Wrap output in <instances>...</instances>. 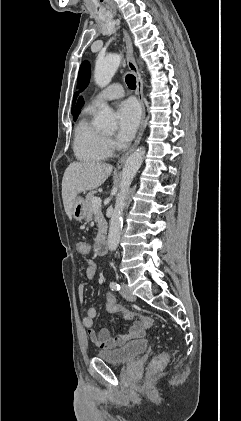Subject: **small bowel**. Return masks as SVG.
Here are the masks:
<instances>
[{"mask_svg":"<svg viewBox=\"0 0 241 421\" xmlns=\"http://www.w3.org/2000/svg\"><path fill=\"white\" fill-rule=\"evenodd\" d=\"M97 273V265L94 261H87L86 276L88 278H94ZM85 293V285L81 283L78 286L77 294L80 300H83ZM97 310L95 307L90 306L86 315L82 319L83 326L87 329V336L90 341L100 349H113L124 345L125 343L134 339L141 338L145 335L147 326L143 323L136 321L133 323L131 328L122 334L112 336L110 331L106 328H101L99 331L93 329L94 319L96 317Z\"/></svg>","mask_w":241,"mask_h":421,"instance_id":"small-bowel-1","label":"small bowel"}]
</instances>
